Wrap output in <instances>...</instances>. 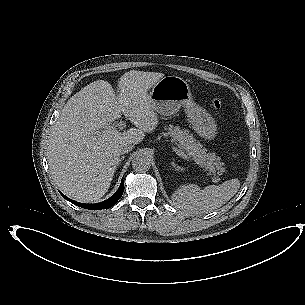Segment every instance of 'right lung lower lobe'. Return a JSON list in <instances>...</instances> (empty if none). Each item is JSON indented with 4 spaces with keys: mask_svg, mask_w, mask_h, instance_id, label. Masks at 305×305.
Returning a JSON list of instances; mask_svg holds the SVG:
<instances>
[{
    "mask_svg": "<svg viewBox=\"0 0 305 305\" xmlns=\"http://www.w3.org/2000/svg\"><path fill=\"white\" fill-rule=\"evenodd\" d=\"M123 191H124V183H123V180H122L117 192L113 196H111L109 199H107L103 202L97 203V204L79 203V202H75V201L69 199L68 197L64 196L62 193H61V195L66 200L73 203L74 205H77V206L85 208V209L95 210V209H108V208L112 207L120 199V197L123 194Z\"/></svg>",
    "mask_w": 305,
    "mask_h": 305,
    "instance_id": "98d812e1",
    "label": "right lung lower lobe"
}]
</instances>
